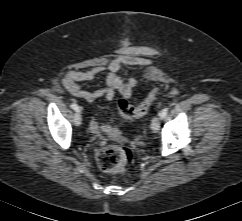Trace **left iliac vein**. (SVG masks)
<instances>
[{
    "label": "left iliac vein",
    "mask_w": 242,
    "mask_h": 221,
    "mask_svg": "<svg viewBox=\"0 0 242 221\" xmlns=\"http://www.w3.org/2000/svg\"><path fill=\"white\" fill-rule=\"evenodd\" d=\"M160 113H159L158 117L153 118L151 121V129L153 131H158L160 128V119L162 118Z\"/></svg>",
    "instance_id": "obj_1"
}]
</instances>
